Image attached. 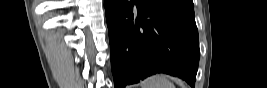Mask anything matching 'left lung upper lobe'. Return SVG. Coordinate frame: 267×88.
<instances>
[{"label": "left lung upper lobe", "instance_id": "obj_1", "mask_svg": "<svg viewBox=\"0 0 267 88\" xmlns=\"http://www.w3.org/2000/svg\"><path fill=\"white\" fill-rule=\"evenodd\" d=\"M174 1H177L183 5H186L192 8L194 7L192 0H174Z\"/></svg>", "mask_w": 267, "mask_h": 88}]
</instances>
